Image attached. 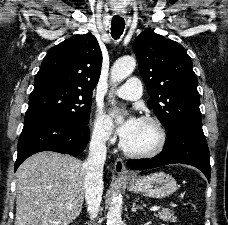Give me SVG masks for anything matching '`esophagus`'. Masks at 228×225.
Returning <instances> with one entry per match:
<instances>
[{"mask_svg": "<svg viewBox=\"0 0 228 225\" xmlns=\"http://www.w3.org/2000/svg\"><path fill=\"white\" fill-rule=\"evenodd\" d=\"M114 169H115L116 174L120 178H125V177H129L130 176V171L126 169L122 158H117L115 160Z\"/></svg>", "mask_w": 228, "mask_h": 225, "instance_id": "34e87169", "label": "esophagus"}]
</instances>
